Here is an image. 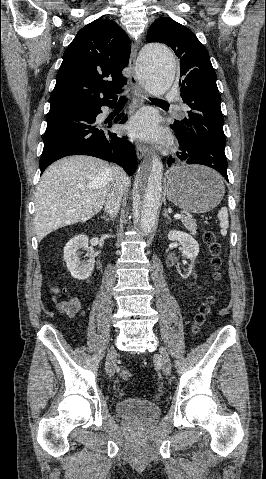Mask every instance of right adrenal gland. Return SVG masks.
Returning a JSON list of instances; mask_svg holds the SVG:
<instances>
[{
  "label": "right adrenal gland",
  "mask_w": 266,
  "mask_h": 479,
  "mask_svg": "<svg viewBox=\"0 0 266 479\" xmlns=\"http://www.w3.org/2000/svg\"><path fill=\"white\" fill-rule=\"evenodd\" d=\"M101 218L104 219L106 222L110 221V219L106 216H102Z\"/></svg>",
  "instance_id": "2a0ac1e0"
}]
</instances>
